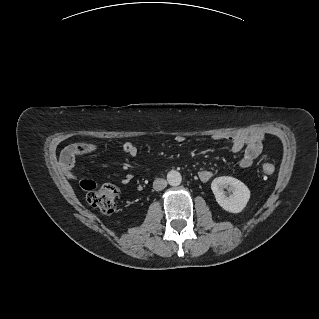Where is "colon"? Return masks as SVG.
<instances>
[{"label": "colon", "instance_id": "obj_1", "mask_svg": "<svg viewBox=\"0 0 319 319\" xmlns=\"http://www.w3.org/2000/svg\"><path fill=\"white\" fill-rule=\"evenodd\" d=\"M274 165L265 163L262 166V174L267 177L274 172ZM80 186L87 192L88 203L104 214H110L115 210L117 191L111 185H103L98 187L96 182L89 179H83Z\"/></svg>", "mask_w": 319, "mask_h": 319}]
</instances>
